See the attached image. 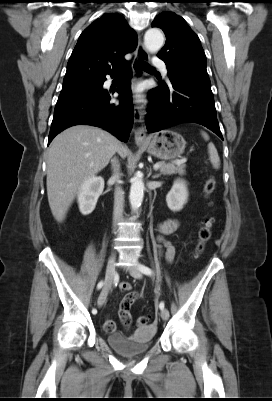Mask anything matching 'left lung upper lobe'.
I'll return each mask as SVG.
<instances>
[{"mask_svg": "<svg viewBox=\"0 0 272 401\" xmlns=\"http://www.w3.org/2000/svg\"><path fill=\"white\" fill-rule=\"evenodd\" d=\"M152 27L161 28L166 35V43L157 56L166 63L169 78L211 85L200 40L181 16L162 12Z\"/></svg>", "mask_w": 272, "mask_h": 401, "instance_id": "left-lung-upper-lobe-1", "label": "left lung upper lobe"}]
</instances>
